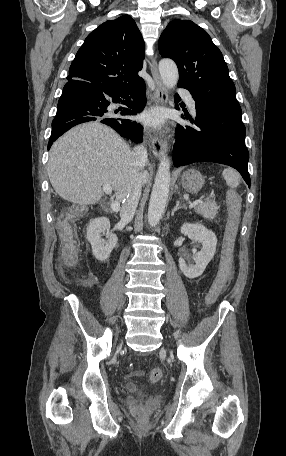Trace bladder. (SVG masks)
<instances>
[{
    "label": "bladder",
    "mask_w": 286,
    "mask_h": 456,
    "mask_svg": "<svg viewBox=\"0 0 286 456\" xmlns=\"http://www.w3.org/2000/svg\"><path fill=\"white\" fill-rule=\"evenodd\" d=\"M135 391H136L137 393H139V394H143V391H141V390H139V389H137V390H135Z\"/></svg>",
    "instance_id": "1"
}]
</instances>
